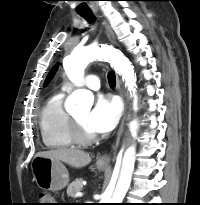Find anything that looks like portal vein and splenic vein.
<instances>
[{"label":"portal vein and splenic vein","mask_w":200,"mask_h":205,"mask_svg":"<svg viewBox=\"0 0 200 205\" xmlns=\"http://www.w3.org/2000/svg\"><path fill=\"white\" fill-rule=\"evenodd\" d=\"M83 196V193H81V192H77L76 194H75V197H82Z\"/></svg>","instance_id":"portal-vein-and-splenic-vein-1"}]
</instances>
